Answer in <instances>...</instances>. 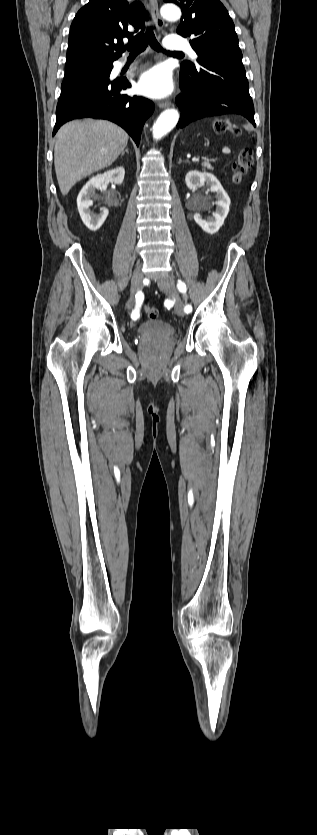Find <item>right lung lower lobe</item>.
Here are the masks:
<instances>
[{
	"label": "right lung lower lobe",
	"instance_id": "obj_1",
	"mask_svg": "<svg viewBox=\"0 0 317 835\" xmlns=\"http://www.w3.org/2000/svg\"><path fill=\"white\" fill-rule=\"evenodd\" d=\"M99 58L96 55H79L66 60L67 68H77L83 61ZM112 67L109 68L111 72ZM110 75V74H109ZM127 79L110 81L109 76L96 81L63 88L56 109L53 135L66 122L83 117L110 120L123 129L136 142H140L145 120L152 114L154 104L144 97L122 95L127 89Z\"/></svg>",
	"mask_w": 317,
	"mask_h": 835
}]
</instances>
